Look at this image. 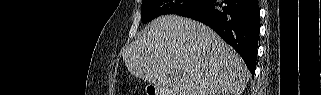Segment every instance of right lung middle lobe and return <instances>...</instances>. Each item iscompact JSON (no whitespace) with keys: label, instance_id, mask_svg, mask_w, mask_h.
Instances as JSON below:
<instances>
[{"label":"right lung middle lobe","instance_id":"dd1d6c3e","mask_svg":"<svg viewBox=\"0 0 321 95\" xmlns=\"http://www.w3.org/2000/svg\"><path fill=\"white\" fill-rule=\"evenodd\" d=\"M207 0H143L141 21L148 23L165 14H195Z\"/></svg>","mask_w":321,"mask_h":95}]
</instances>
